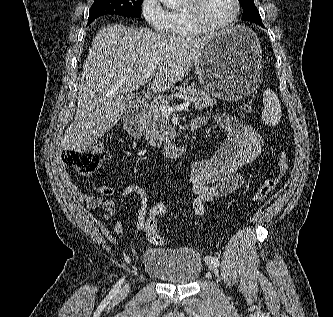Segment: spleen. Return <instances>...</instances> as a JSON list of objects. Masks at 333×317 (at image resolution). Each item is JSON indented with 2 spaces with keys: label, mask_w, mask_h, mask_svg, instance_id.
Masks as SVG:
<instances>
[{
  "label": "spleen",
  "mask_w": 333,
  "mask_h": 317,
  "mask_svg": "<svg viewBox=\"0 0 333 317\" xmlns=\"http://www.w3.org/2000/svg\"><path fill=\"white\" fill-rule=\"evenodd\" d=\"M264 110L262 120L269 126H275L281 119V106L278 96L271 89L265 90L263 94Z\"/></svg>",
  "instance_id": "3e777b00"
}]
</instances>
